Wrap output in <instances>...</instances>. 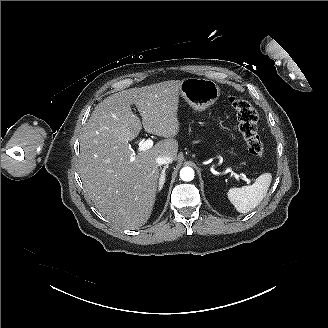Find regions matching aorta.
<instances>
[{
	"label": "aorta",
	"instance_id": "obj_1",
	"mask_svg": "<svg viewBox=\"0 0 328 328\" xmlns=\"http://www.w3.org/2000/svg\"><path fill=\"white\" fill-rule=\"evenodd\" d=\"M180 178L183 181H191L194 178V170L191 167H183L180 171Z\"/></svg>",
	"mask_w": 328,
	"mask_h": 328
}]
</instances>
